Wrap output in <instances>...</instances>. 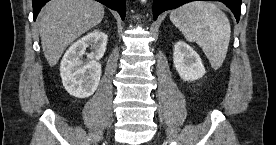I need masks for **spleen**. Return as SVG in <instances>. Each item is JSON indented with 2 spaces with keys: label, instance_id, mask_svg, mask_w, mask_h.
I'll return each mask as SVG.
<instances>
[{
  "label": "spleen",
  "instance_id": "1",
  "mask_svg": "<svg viewBox=\"0 0 276 145\" xmlns=\"http://www.w3.org/2000/svg\"><path fill=\"white\" fill-rule=\"evenodd\" d=\"M172 23L189 42H196L213 69H219L226 57L230 41V22L214 3L192 1L173 10Z\"/></svg>",
  "mask_w": 276,
  "mask_h": 145
}]
</instances>
